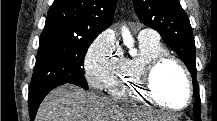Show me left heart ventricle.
I'll list each match as a JSON object with an SVG mask.
<instances>
[{"label":"left heart ventricle","mask_w":217,"mask_h":121,"mask_svg":"<svg viewBox=\"0 0 217 121\" xmlns=\"http://www.w3.org/2000/svg\"><path fill=\"white\" fill-rule=\"evenodd\" d=\"M154 90L170 106H182L187 99L188 87L183 73L171 63L161 67L153 78Z\"/></svg>","instance_id":"b2bd125f"}]
</instances>
